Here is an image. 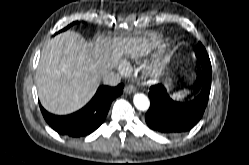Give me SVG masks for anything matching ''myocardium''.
Listing matches in <instances>:
<instances>
[{
  "mask_svg": "<svg viewBox=\"0 0 249 165\" xmlns=\"http://www.w3.org/2000/svg\"><path fill=\"white\" fill-rule=\"evenodd\" d=\"M176 54L172 53L164 59L148 67L144 72L145 83L150 86H158L165 83L169 77V66L175 60Z\"/></svg>",
  "mask_w": 249,
  "mask_h": 165,
  "instance_id": "f54148a6",
  "label": "myocardium"
}]
</instances>
